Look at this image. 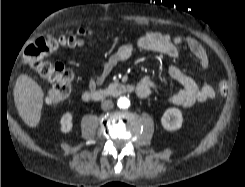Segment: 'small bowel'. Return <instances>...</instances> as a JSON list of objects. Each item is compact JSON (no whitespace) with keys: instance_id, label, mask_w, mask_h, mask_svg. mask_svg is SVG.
Segmentation results:
<instances>
[{"instance_id":"c3829d8e","label":"small bowel","mask_w":245,"mask_h":187,"mask_svg":"<svg viewBox=\"0 0 245 187\" xmlns=\"http://www.w3.org/2000/svg\"><path fill=\"white\" fill-rule=\"evenodd\" d=\"M182 45L186 46L198 59L202 69L208 68L209 58L207 52L195 38L183 35L171 36L160 32L149 31L135 40L120 45L91 77L88 88L94 90L100 87L112 70L117 65L128 61L136 49L159 53L170 58H178L180 55L179 47ZM168 75L182 86L178 92L166 98V102L170 104L182 108H189L196 103L211 100L215 96V91L211 86L197 83L190 75L175 65L168 67ZM158 87L159 85L147 76L137 83V94L139 97L145 98L152 90Z\"/></svg>"}]
</instances>
